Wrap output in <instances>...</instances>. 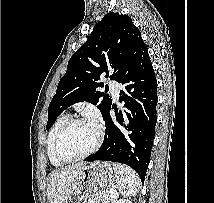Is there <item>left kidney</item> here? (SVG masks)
<instances>
[{
	"mask_svg": "<svg viewBox=\"0 0 214 203\" xmlns=\"http://www.w3.org/2000/svg\"><path fill=\"white\" fill-rule=\"evenodd\" d=\"M116 203H132V202L127 199H122V200L117 201Z\"/></svg>",
	"mask_w": 214,
	"mask_h": 203,
	"instance_id": "left-kidney-1",
	"label": "left kidney"
}]
</instances>
